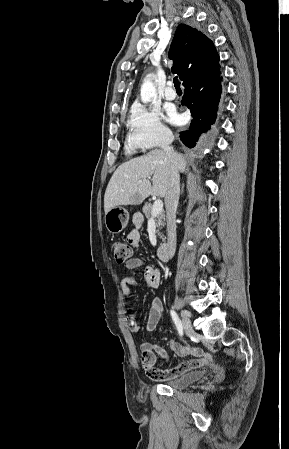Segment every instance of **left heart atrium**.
Returning <instances> with one entry per match:
<instances>
[{"mask_svg":"<svg viewBox=\"0 0 289 449\" xmlns=\"http://www.w3.org/2000/svg\"><path fill=\"white\" fill-rule=\"evenodd\" d=\"M166 111H167V119H168L169 122H171L173 124H179L180 123V116L176 112L175 108L168 107Z\"/></svg>","mask_w":289,"mask_h":449,"instance_id":"obj_1","label":"left heart atrium"}]
</instances>
